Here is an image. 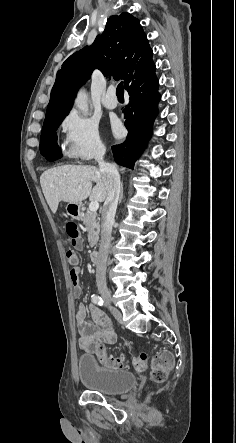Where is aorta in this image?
<instances>
[{"label": "aorta", "mask_w": 236, "mask_h": 443, "mask_svg": "<svg viewBox=\"0 0 236 443\" xmlns=\"http://www.w3.org/2000/svg\"><path fill=\"white\" fill-rule=\"evenodd\" d=\"M76 107L85 112L87 110V94L84 90H80L75 99Z\"/></svg>", "instance_id": "aorta-1"}]
</instances>
